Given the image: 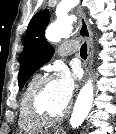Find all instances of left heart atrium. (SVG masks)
Returning <instances> with one entry per match:
<instances>
[{"label":"left heart atrium","instance_id":"left-heart-atrium-1","mask_svg":"<svg viewBox=\"0 0 116 134\" xmlns=\"http://www.w3.org/2000/svg\"><path fill=\"white\" fill-rule=\"evenodd\" d=\"M77 73L70 72L69 70H62L58 79L56 80L59 93L68 105L72 99L76 89Z\"/></svg>","mask_w":116,"mask_h":134}]
</instances>
